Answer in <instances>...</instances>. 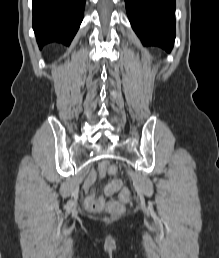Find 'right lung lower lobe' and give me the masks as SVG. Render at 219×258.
<instances>
[{
  "label": "right lung lower lobe",
  "mask_w": 219,
  "mask_h": 258,
  "mask_svg": "<svg viewBox=\"0 0 219 258\" xmlns=\"http://www.w3.org/2000/svg\"><path fill=\"white\" fill-rule=\"evenodd\" d=\"M86 0H33V29L40 48L57 42L69 46L82 19Z\"/></svg>",
  "instance_id": "obj_1"
}]
</instances>
